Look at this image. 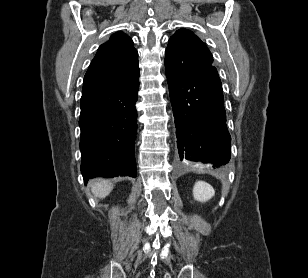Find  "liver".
I'll use <instances>...</instances> for the list:
<instances>
[{
    "label": "liver",
    "instance_id": "obj_1",
    "mask_svg": "<svg viewBox=\"0 0 308 278\" xmlns=\"http://www.w3.org/2000/svg\"><path fill=\"white\" fill-rule=\"evenodd\" d=\"M92 192L96 197L105 198L113 189V185L104 179H98L91 184Z\"/></svg>",
    "mask_w": 308,
    "mask_h": 278
}]
</instances>
